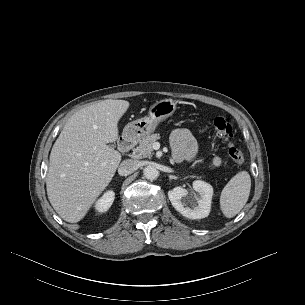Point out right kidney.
Here are the masks:
<instances>
[{"instance_id":"right-kidney-1","label":"right kidney","mask_w":305,"mask_h":305,"mask_svg":"<svg viewBox=\"0 0 305 305\" xmlns=\"http://www.w3.org/2000/svg\"><path fill=\"white\" fill-rule=\"evenodd\" d=\"M115 198V193L110 190L96 202L95 208L98 212H106L112 205Z\"/></svg>"}]
</instances>
